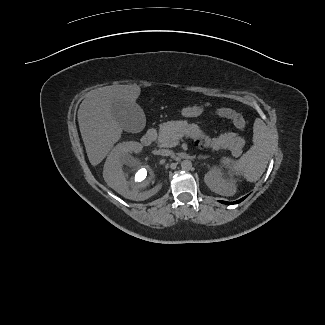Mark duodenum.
Segmentation results:
<instances>
[{
  "instance_id": "obj_1",
  "label": "duodenum",
  "mask_w": 325,
  "mask_h": 325,
  "mask_svg": "<svg viewBox=\"0 0 325 325\" xmlns=\"http://www.w3.org/2000/svg\"><path fill=\"white\" fill-rule=\"evenodd\" d=\"M156 138L155 130H150L142 135L141 142L143 145L148 146L150 145Z\"/></svg>"
}]
</instances>
